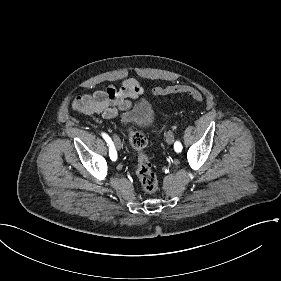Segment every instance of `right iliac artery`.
Masks as SVG:
<instances>
[{"instance_id":"1","label":"right iliac artery","mask_w":281,"mask_h":281,"mask_svg":"<svg viewBox=\"0 0 281 281\" xmlns=\"http://www.w3.org/2000/svg\"><path fill=\"white\" fill-rule=\"evenodd\" d=\"M102 136L110 147L109 155H110L111 160L115 161L117 159V153L115 151V147L113 145L111 138L105 133H102Z\"/></svg>"}]
</instances>
